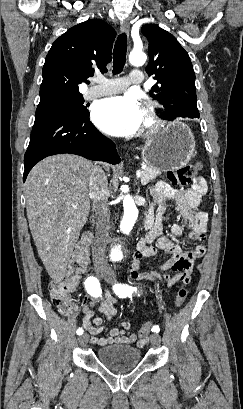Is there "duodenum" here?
Here are the masks:
<instances>
[{"mask_svg":"<svg viewBox=\"0 0 243 409\" xmlns=\"http://www.w3.org/2000/svg\"><path fill=\"white\" fill-rule=\"evenodd\" d=\"M145 227L147 229H151V230L153 229V227H154V218H153L152 213L147 214L146 219H145Z\"/></svg>","mask_w":243,"mask_h":409,"instance_id":"duodenum-1","label":"duodenum"}]
</instances>
